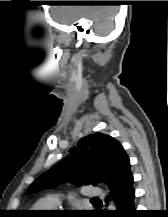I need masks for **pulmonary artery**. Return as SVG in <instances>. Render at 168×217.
<instances>
[{
    "mask_svg": "<svg viewBox=\"0 0 168 217\" xmlns=\"http://www.w3.org/2000/svg\"><path fill=\"white\" fill-rule=\"evenodd\" d=\"M83 196L86 199H94L104 196V192L100 187L87 186L83 189ZM47 201L53 206H56L60 203V199L57 195L50 196Z\"/></svg>",
    "mask_w": 168,
    "mask_h": 217,
    "instance_id": "1",
    "label": "pulmonary artery"
}]
</instances>
